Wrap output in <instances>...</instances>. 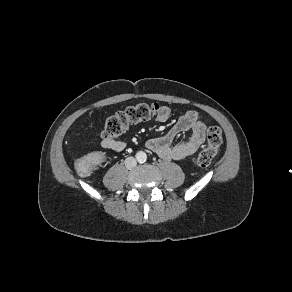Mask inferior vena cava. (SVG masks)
Here are the masks:
<instances>
[{
    "label": "inferior vena cava",
    "mask_w": 292,
    "mask_h": 292,
    "mask_svg": "<svg viewBox=\"0 0 292 292\" xmlns=\"http://www.w3.org/2000/svg\"><path fill=\"white\" fill-rule=\"evenodd\" d=\"M137 164V161L134 157H128L125 159V166L128 168V169H131L133 167H135Z\"/></svg>",
    "instance_id": "1"
}]
</instances>
